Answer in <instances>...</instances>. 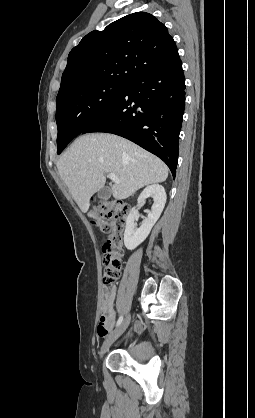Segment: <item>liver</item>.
Wrapping results in <instances>:
<instances>
[{
	"label": "liver",
	"instance_id": "6515ba94",
	"mask_svg": "<svg viewBox=\"0 0 255 418\" xmlns=\"http://www.w3.org/2000/svg\"><path fill=\"white\" fill-rule=\"evenodd\" d=\"M60 177L82 212L90 198L114 173L119 183H111L115 199H126L144 186L164 182L168 167L155 155L133 142L113 134H86L74 141L57 162Z\"/></svg>",
	"mask_w": 255,
	"mask_h": 418
}]
</instances>
